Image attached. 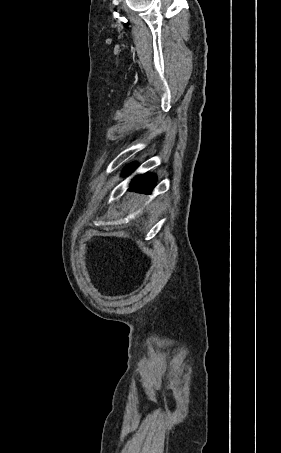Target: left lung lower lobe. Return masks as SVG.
<instances>
[{
	"label": "left lung lower lobe",
	"mask_w": 281,
	"mask_h": 453,
	"mask_svg": "<svg viewBox=\"0 0 281 453\" xmlns=\"http://www.w3.org/2000/svg\"><path fill=\"white\" fill-rule=\"evenodd\" d=\"M134 168H135V165H130L129 167H127L125 169V173H129ZM155 180H156L155 175L144 174L142 176L135 178L132 181L131 187L129 190H135L138 192L149 193L155 186Z\"/></svg>",
	"instance_id": "0a47b994"
}]
</instances>
